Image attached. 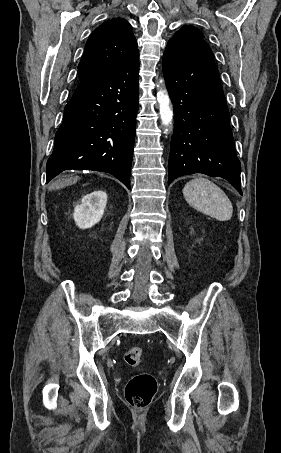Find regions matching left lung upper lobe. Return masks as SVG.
<instances>
[{
  "label": "left lung upper lobe",
  "instance_id": "left-lung-upper-lobe-1",
  "mask_svg": "<svg viewBox=\"0 0 281 453\" xmlns=\"http://www.w3.org/2000/svg\"><path fill=\"white\" fill-rule=\"evenodd\" d=\"M173 38H178L192 45L203 44L209 48V46L203 39V35L197 29L191 26L182 27L178 32L175 33Z\"/></svg>",
  "mask_w": 281,
  "mask_h": 453
}]
</instances>
